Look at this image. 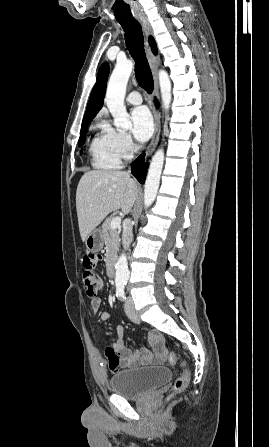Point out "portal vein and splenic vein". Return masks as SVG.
<instances>
[{"instance_id": "obj_1", "label": "portal vein and splenic vein", "mask_w": 269, "mask_h": 447, "mask_svg": "<svg viewBox=\"0 0 269 447\" xmlns=\"http://www.w3.org/2000/svg\"><path fill=\"white\" fill-rule=\"evenodd\" d=\"M120 224H121V218H113L110 225L112 229H117V227H119Z\"/></svg>"}]
</instances>
